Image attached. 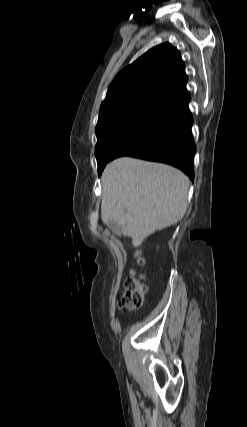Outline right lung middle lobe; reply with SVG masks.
<instances>
[{
  "mask_svg": "<svg viewBox=\"0 0 247 427\" xmlns=\"http://www.w3.org/2000/svg\"><path fill=\"white\" fill-rule=\"evenodd\" d=\"M153 110L134 107L109 112L99 117L96 126L97 144L95 148L99 175L119 144Z\"/></svg>",
  "mask_w": 247,
  "mask_h": 427,
  "instance_id": "1",
  "label": "right lung middle lobe"
}]
</instances>
